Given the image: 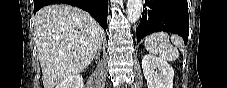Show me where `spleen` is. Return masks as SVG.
I'll use <instances>...</instances> for the list:
<instances>
[{
  "mask_svg": "<svg viewBox=\"0 0 227 88\" xmlns=\"http://www.w3.org/2000/svg\"><path fill=\"white\" fill-rule=\"evenodd\" d=\"M171 43L167 33L157 32L145 38L144 46L149 53L158 54L160 58L167 61H174L179 57V48L183 43L176 35L171 36Z\"/></svg>",
  "mask_w": 227,
  "mask_h": 88,
  "instance_id": "obj_1",
  "label": "spleen"
}]
</instances>
